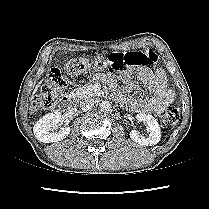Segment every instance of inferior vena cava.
Instances as JSON below:
<instances>
[{"label": "inferior vena cava", "instance_id": "1", "mask_svg": "<svg viewBox=\"0 0 209 209\" xmlns=\"http://www.w3.org/2000/svg\"><path fill=\"white\" fill-rule=\"evenodd\" d=\"M79 105H80L81 109H83L85 111L90 110L94 106V99H92L90 97H85L80 100Z\"/></svg>", "mask_w": 209, "mask_h": 209}]
</instances>
